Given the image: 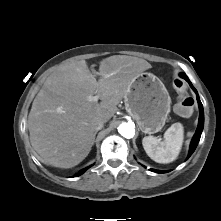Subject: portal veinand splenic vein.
Listing matches in <instances>:
<instances>
[{"instance_id": "obj_1", "label": "portal vein and splenic vein", "mask_w": 221, "mask_h": 221, "mask_svg": "<svg viewBox=\"0 0 221 221\" xmlns=\"http://www.w3.org/2000/svg\"><path fill=\"white\" fill-rule=\"evenodd\" d=\"M98 99H99V96H98V95H95V96H93V97L90 98V101H92V102H97Z\"/></svg>"}]
</instances>
